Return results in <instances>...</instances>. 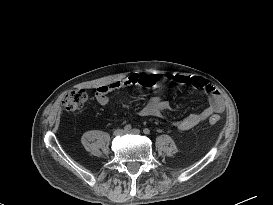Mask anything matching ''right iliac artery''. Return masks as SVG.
<instances>
[{
    "label": "right iliac artery",
    "mask_w": 273,
    "mask_h": 205,
    "mask_svg": "<svg viewBox=\"0 0 273 205\" xmlns=\"http://www.w3.org/2000/svg\"><path fill=\"white\" fill-rule=\"evenodd\" d=\"M131 128H132V126L130 124H127L124 126L125 131H129Z\"/></svg>",
    "instance_id": "1"
}]
</instances>
